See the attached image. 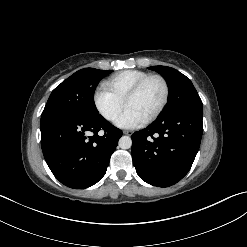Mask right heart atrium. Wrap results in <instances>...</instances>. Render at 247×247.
Listing matches in <instances>:
<instances>
[{
    "label": "right heart atrium",
    "mask_w": 247,
    "mask_h": 247,
    "mask_svg": "<svg viewBox=\"0 0 247 247\" xmlns=\"http://www.w3.org/2000/svg\"><path fill=\"white\" fill-rule=\"evenodd\" d=\"M94 105L102 117L115 121L124 106V100L106 86L99 87L93 96Z\"/></svg>",
    "instance_id": "obj_1"
}]
</instances>
